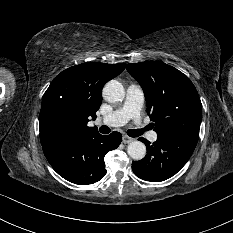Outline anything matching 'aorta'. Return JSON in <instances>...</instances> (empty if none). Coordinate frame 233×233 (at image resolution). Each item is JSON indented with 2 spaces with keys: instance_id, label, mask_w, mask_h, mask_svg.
Returning <instances> with one entry per match:
<instances>
[{
  "instance_id": "1",
  "label": "aorta",
  "mask_w": 233,
  "mask_h": 233,
  "mask_svg": "<svg viewBox=\"0 0 233 233\" xmlns=\"http://www.w3.org/2000/svg\"><path fill=\"white\" fill-rule=\"evenodd\" d=\"M124 96V87L116 80H110L103 88V97L108 102L122 101ZM127 153L133 160L139 161L146 155V146L140 141H133L128 145Z\"/></svg>"
}]
</instances>
